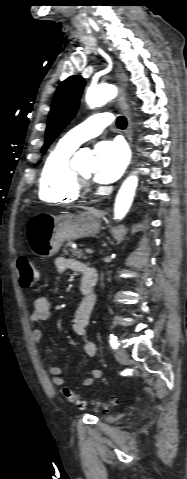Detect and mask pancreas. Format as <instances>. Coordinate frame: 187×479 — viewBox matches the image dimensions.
Masks as SVG:
<instances>
[{
    "mask_svg": "<svg viewBox=\"0 0 187 479\" xmlns=\"http://www.w3.org/2000/svg\"><path fill=\"white\" fill-rule=\"evenodd\" d=\"M65 247H70V252L72 253V256L75 257V258H82L84 255L79 252V251H75L73 248H72V241H68L67 244L65 245ZM64 252L66 254H68V251L66 249H64Z\"/></svg>",
    "mask_w": 187,
    "mask_h": 479,
    "instance_id": "pancreas-1",
    "label": "pancreas"
}]
</instances>
